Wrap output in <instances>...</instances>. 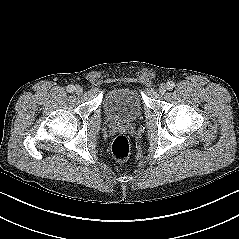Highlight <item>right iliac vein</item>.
Here are the masks:
<instances>
[{
  "mask_svg": "<svg viewBox=\"0 0 239 239\" xmlns=\"http://www.w3.org/2000/svg\"><path fill=\"white\" fill-rule=\"evenodd\" d=\"M75 92H76L78 95H80V94L83 92V88H82L81 86L77 85V86L75 87Z\"/></svg>",
  "mask_w": 239,
  "mask_h": 239,
  "instance_id": "1",
  "label": "right iliac vein"
}]
</instances>
